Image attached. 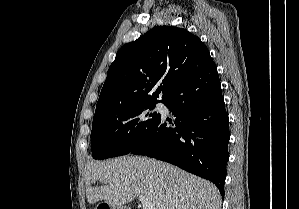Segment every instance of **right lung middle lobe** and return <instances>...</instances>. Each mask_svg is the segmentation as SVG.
Segmentation results:
<instances>
[{
  "label": "right lung middle lobe",
  "mask_w": 299,
  "mask_h": 209,
  "mask_svg": "<svg viewBox=\"0 0 299 209\" xmlns=\"http://www.w3.org/2000/svg\"><path fill=\"white\" fill-rule=\"evenodd\" d=\"M156 103L128 105L95 115L91 131L93 158L100 160L130 153L160 119V114L152 111Z\"/></svg>",
  "instance_id": "dd1d6c3e"
}]
</instances>
